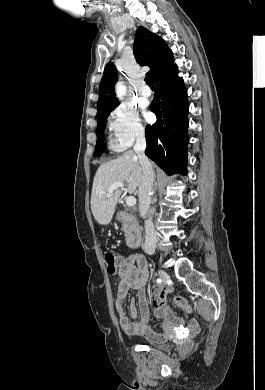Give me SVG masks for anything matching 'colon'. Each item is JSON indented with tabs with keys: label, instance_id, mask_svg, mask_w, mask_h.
<instances>
[{
	"label": "colon",
	"instance_id": "5ec220e1",
	"mask_svg": "<svg viewBox=\"0 0 265 390\" xmlns=\"http://www.w3.org/2000/svg\"><path fill=\"white\" fill-rule=\"evenodd\" d=\"M102 258H103V262L106 266L107 272L111 275L115 274L117 272V268H118L119 263H118L117 257L114 255V253L109 251V250L104 251L102 254ZM173 301L182 310H184L186 312L191 311V306H190L189 302L185 298H183L182 296H179V295L174 296Z\"/></svg>",
	"mask_w": 265,
	"mask_h": 390
}]
</instances>
